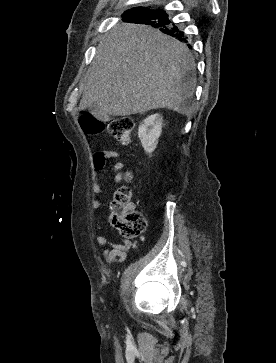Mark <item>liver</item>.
<instances>
[{"label": "liver", "instance_id": "liver-1", "mask_svg": "<svg viewBox=\"0 0 276 363\" xmlns=\"http://www.w3.org/2000/svg\"><path fill=\"white\" fill-rule=\"evenodd\" d=\"M195 68L185 44L150 26L121 23L97 47L79 110L97 106L92 115L99 120L102 115L129 116L158 108L189 117Z\"/></svg>", "mask_w": 276, "mask_h": 363}]
</instances>
